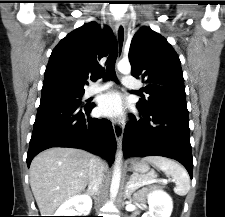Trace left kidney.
Returning <instances> with one entry per match:
<instances>
[{
  "instance_id": "left-kidney-1",
  "label": "left kidney",
  "mask_w": 225,
  "mask_h": 217,
  "mask_svg": "<svg viewBox=\"0 0 225 217\" xmlns=\"http://www.w3.org/2000/svg\"><path fill=\"white\" fill-rule=\"evenodd\" d=\"M149 211L142 217H170L173 209L172 198L164 191L158 190L148 195Z\"/></svg>"
}]
</instances>
